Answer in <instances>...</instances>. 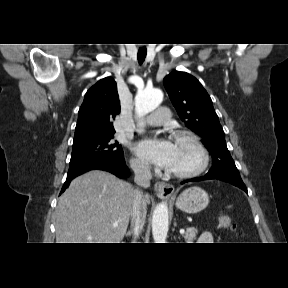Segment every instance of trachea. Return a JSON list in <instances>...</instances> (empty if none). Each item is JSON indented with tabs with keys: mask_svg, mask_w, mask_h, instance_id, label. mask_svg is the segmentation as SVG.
<instances>
[{
	"mask_svg": "<svg viewBox=\"0 0 288 288\" xmlns=\"http://www.w3.org/2000/svg\"><path fill=\"white\" fill-rule=\"evenodd\" d=\"M146 54H147V50L145 48L139 49L138 54H137L139 64H142L144 62Z\"/></svg>",
	"mask_w": 288,
	"mask_h": 288,
	"instance_id": "3493384b",
	"label": "trachea"
}]
</instances>
